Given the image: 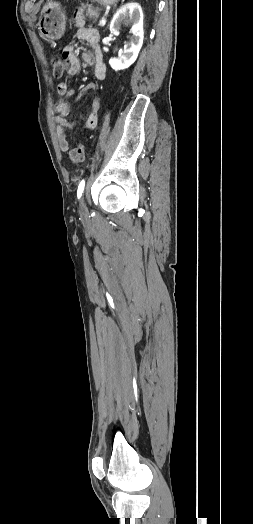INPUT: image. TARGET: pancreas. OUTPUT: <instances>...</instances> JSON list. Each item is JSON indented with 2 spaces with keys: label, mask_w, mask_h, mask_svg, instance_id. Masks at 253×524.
I'll return each mask as SVG.
<instances>
[{
  "label": "pancreas",
  "mask_w": 253,
  "mask_h": 524,
  "mask_svg": "<svg viewBox=\"0 0 253 524\" xmlns=\"http://www.w3.org/2000/svg\"><path fill=\"white\" fill-rule=\"evenodd\" d=\"M85 10H86V14H85L86 17L95 18V19L99 17L100 9L98 7L94 8L89 4H86V5L82 4V6L79 7L76 12V18L83 17V13Z\"/></svg>",
  "instance_id": "1"
}]
</instances>
